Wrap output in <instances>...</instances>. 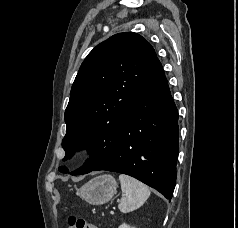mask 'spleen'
<instances>
[{
  "instance_id": "1",
  "label": "spleen",
  "mask_w": 238,
  "mask_h": 228,
  "mask_svg": "<svg viewBox=\"0 0 238 228\" xmlns=\"http://www.w3.org/2000/svg\"><path fill=\"white\" fill-rule=\"evenodd\" d=\"M119 181L122 189V197L118 209L122 213H130L141 207L150 196L149 188L137 179L121 174Z\"/></svg>"
}]
</instances>
